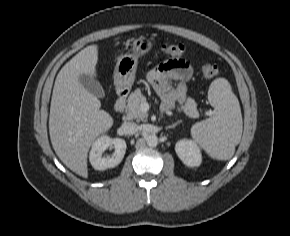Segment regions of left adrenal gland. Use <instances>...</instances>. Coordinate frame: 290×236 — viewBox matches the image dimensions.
<instances>
[{
  "label": "left adrenal gland",
  "mask_w": 290,
  "mask_h": 236,
  "mask_svg": "<svg viewBox=\"0 0 290 236\" xmlns=\"http://www.w3.org/2000/svg\"><path fill=\"white\" fill-rule=\"evenodd\" d=\"M181 122H182V121H177L176 123L167 126L166 129L174 128L175 126H177V125L180 124Z\"/></svg>",
  "instance_id": "1"
}]
</instances>
